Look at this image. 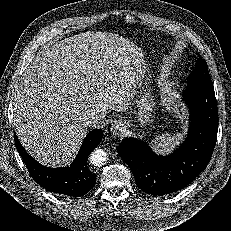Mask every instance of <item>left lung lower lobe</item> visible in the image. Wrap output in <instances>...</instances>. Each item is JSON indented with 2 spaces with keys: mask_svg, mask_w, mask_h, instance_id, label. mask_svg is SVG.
<instances>
[{
  "mask_svg": "<svg viewBox=\"0 0 231 231\" xmlns=\"http://www.w3.org/2000/svg\"><path fill=\"white\" fill-rule=\"evenodd\" d=\"M190 106L186 141L169 156H158L148 144L127 138L117 151L131 169L137 186L151 195L178 191L208 165L216 144L218 108L213 86L189 84L183 93Z\"/></svg>",
  "mask_w": 231,
  "mask_h": 231,
  "instance_id": "obj_1",
  "label": "left lung lower lobe"
}]
</instances>
